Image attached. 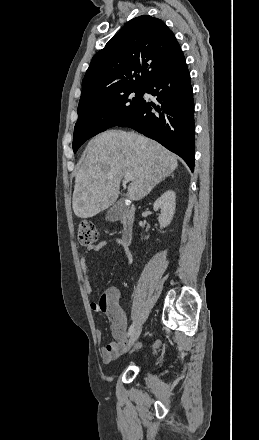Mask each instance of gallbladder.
I'll return each mask as SVG.
<instances>
[{"instance_id": "1", "label": "gallbladder", "mask_w": 259, "mask_h": 440, "mask_svg": "<svg viewBox=\"0 0 259 440\" xmlns=\"http://www.w3.org/2000/svg\"><path fill=\"white\" fill-rule=\"evenodd\" d=\"M127 206L124 201L121 199L117 201L106 213L105 219L110 222H116L122 218Z\"/></svg>"}]
</instances>
